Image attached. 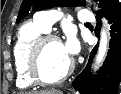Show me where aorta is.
Here are the masks:
<instances>
[{
    "mask_svg": "<svg viewBox=\"0 0 121 94\" xmlns=\"http://www.w3.org/2000/svg\"><path fill=\"white\" fill-rule=\"evenodd\" d=\"M108 42H109L108 41V33L105 29H102L99 49H98V53H97V57H96L95 68H98L102 64V62L107 54Z\"/></svg>",
    "mask_w": 121,
    "mask_h": 94,
    "instance_id": "1",
    "label": "aorta"
}]
</instances>
